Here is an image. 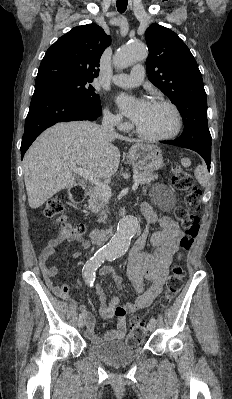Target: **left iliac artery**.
<instances>
[{
  "mask_svg": "<svg viewBox=\"0 0 232 399\" xmlns=\"http://www.w3.org/2000/svg\"><path fill=\"white\" fill-rule=\"evenodd\" d=\"M118 256V254L117 253H109L108 254V260L109 261H113V260H115V258ZM156 322V319L155 318H153V317H151L150 318V323H155Z\"/></svg>",
  "mask_w": 232,
  "mask_h": 399,
  "instance_id": "44dca946",
  "label": "left iliac artery"
}]
</instances>
